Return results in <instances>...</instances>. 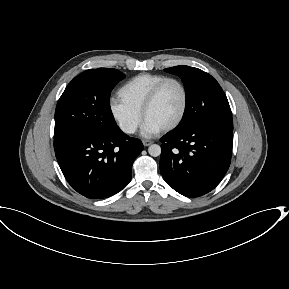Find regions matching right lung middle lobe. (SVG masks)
Listing matches in <instances>:
<instances>
[{"instance_id":"1","label":"right lung middle lobe","mask_w":289,"mask_h":289,"mask_svg":"<svg viewBox=\"0 0 289 289\" xmlns=\"http://www.w3.org/2000/svg\"><path fill=\"white\" fill-rule=\"evenodd\" d=\"M124 77L116 69H89L68 84L55 110L54 149L83 134L117 127L109 98Z\"/></svg>"}]
</instances>
